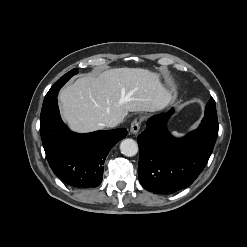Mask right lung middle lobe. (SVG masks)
Here are the masks:
<instances>
[{
	"label": "right lung middle lobe",
	"mask_w": 247,
	"mask_h": 247,
	"mask_svg": "<svg viewBox=\"0 0 247 247\" xmlns=\"http://www.w3.org/2000/svg\"><path fill=\"white\" fill-rule=\"evenodd\" d=\"M77 69H73L62 76L48 91L44 98L43 104L51 101L52 99L56 98L60 88L75 74H77Z\"/></svg>",
	"instance_id": "dd1d6c3e"
}]
</instances>
